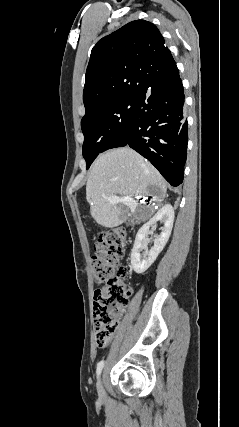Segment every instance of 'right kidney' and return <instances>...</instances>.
Segmentation results:
<instances>
[{
	"label": "right kidney",
	"instance_id": "ca27d5eb",
	"mask_svg": "<svg viewBox=\"0 0 239 427\" xmlns=\"http://www.w3.org/2000/svg\"><path fill=\"white\" fill-rule=\"evenodd\" d=\"M174 217L173 207L170 204H166L139 229L131 253V265L136 273H144L154 263L160 252L163 250L170 237ZM158 221L163 223V227L161 228L162 232L160 236L154 240V246L142 257L140 252L142 249L146 248L148 243L146 237L150 233L149 228Z\"/></svg>",
	"mask_w": 239,
	"mask_h": 427
}]
</instances>
